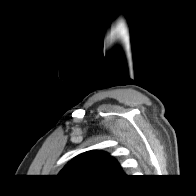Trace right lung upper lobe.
Here are the masks:
<instances>
[{"mask_svg":"<svg viewBox=\"0 0 196 196\" xmlns=\"http://www.w3.org/2000/svg\"><path fill=\"white\" fill-rule=\"evenodd\" d=\"M61 175L90 179L110 178L123 173L118 162L103 151H88L76 156L60 172Z\"/></svg>","mask_w":196,"mask_h":196,"instance_id":"right-lung-upper-lobe-1","label":"right lung upper lobe"}]
</instances>
